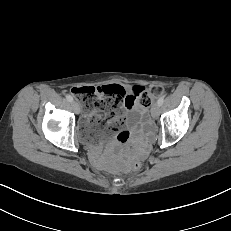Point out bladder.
Segmentation results:
<instances>
[{
    "mask_svg": "<svg viewBox=\"0 0 231 231\" xmlns=\"http://www.w3.org/2000/svg\"><path fill=\"white\" fill-rule=\"evenodd\" d=\"M130 95L133 99V110L135 112H141L143 107L139 101L137 90L135 88L130 90ZM98 131L99 129L94 125L87 123L86 125H80L77 127L76 135L83 144L88 145L95 143L99 139L97 134ZM102 134H104V131H102Z\"/></svg>",
    "mask_w": 231,
    "mask_h": 231,
    "instance_id": "31cf9c89",
    "label": "bladder"
}]
</instances>
